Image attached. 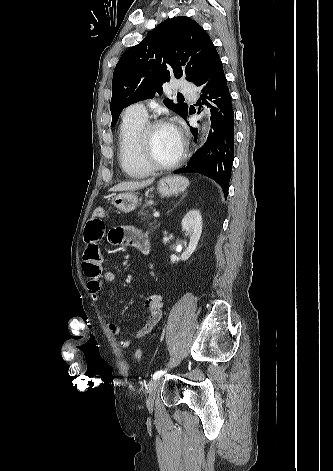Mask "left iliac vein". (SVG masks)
Wrapping results in <instances>:
<instances>
[{"instance_id":"obj_1","label":"left iliac vein","mask_w":333,"mask_h":471,"mask_svg":"<svg viewBox=\"0 0 333 471\" xmlns=\"http://www.w3.org/2000/svg\"><path fill=\"white\" fill-rule=\"evenodd\" d=\"M159 384H160L159 378L154 379L153 381L150 382L149 390H148V399H147V407L149 410H152L153 408L154 399H155V395L158 390Z\"/></svg>"}]
</instances>
